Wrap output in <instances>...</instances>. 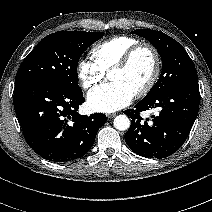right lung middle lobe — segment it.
<instances>
[{"instance_id":"dd1d6c3e","label":"right lung middle lobe","mask_w":212,"mask_h":212,"mask_svg":"<svg viewBox=\"0 0 212 212\" xmlns=\"http://www.w3.org/2000/svg\"><path fill=\"white\" fill-rule=\"evenodd\" d=\"M103 35V32L58 31L44 37L21 64L15 85L46 81L71 92H81L77 63L81 54Z\"/></svg>"}]
</instances>
